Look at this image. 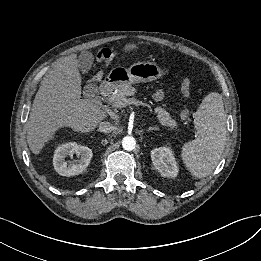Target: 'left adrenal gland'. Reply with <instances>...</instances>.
<instances>
[{
    "label": "left adrenal gland",
    "mask_w": 261,
    "mask_h": 261,
    "mask_svg": "<svg viewBox=\"0 0 261 261\" xmlns=\"http://www.w3.org/2000/svg\"><path fill=\"white\" fill-rule=\"evenodd\" d=\"M148 132H151V131H159V128L158 127H149V129L147 130Z\"/></svg>",
    "instance_id": "obj_1"
}]
</instances>
